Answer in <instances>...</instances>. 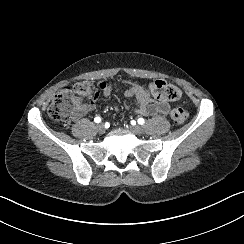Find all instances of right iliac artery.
<instances>
[{
	"instance_id": "82829eb1",
	"label": "right iliac artery",
	"mask_w": 244,
	"mask_h": 244,
	"mask_svg": "<svg viewBox=\"0 0 244 244\" xmlns=\"http://www.w3.org/2000/svg\"><path fill=\"white\" fill-rule=\"evenodd\" d=\"M94 121L96 122V123H99V122H101V118L100 117H95L94 118ZM106 127V126H105ZM108 127H109V124H108ZM107 127V128H108Z\"/></svg>"
}]
</instances>
